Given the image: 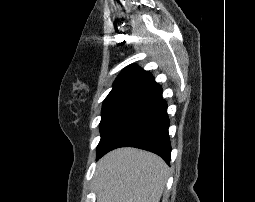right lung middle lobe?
I'll use <instances>...</instances> for the list:
<instances>
[{
  "instance_id": "obj_1",
  "label": "right lung middle lobe",
  "mask_w": 255,
  "mask_h": 202,
  "mask_svg": "<svg viewBox=\"0 0 255 202\" xmlns=\"http://www.w3.org/2000/svg\"><path fill=\"white\" fill-rule=\"evenodd\" d=\"M134 112H115L102 114L100 122L101 140L97 146V159L107 148L111 139L135 115Z\"/></svg>"
}]
</instances>
